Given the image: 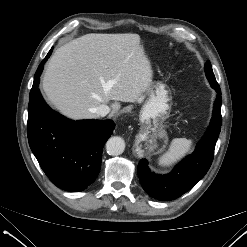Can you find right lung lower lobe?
Listing matches in <instances>:
<instances>
[{"label": "right lung lower lobe", "instance_id": "right-lung-lower-lobe-1", "mask_svg": "<svg viewBox=\"0 0 247 247\" xmlns=\"http://www.w3.org/2000/svg\"><path fill=\"white\" fill-rule=\"evenodd\" d=\"M39 80V78H35ZM33 83L28 106L30 148L48 178L77 192L92 184L101 168L103 146L112 135L111 120L72 121L53 111Z\"/></svg>", "mask_w": 247, "mask_h": 247}]
</instances>
